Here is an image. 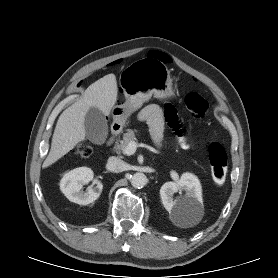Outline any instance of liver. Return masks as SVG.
<instances>
[{"label":"liver","instance_id":"liver-1","mask_svg":"<svg viewBox=\"0 0 278 278\" xmlns=\"http://www.w3.org/2000/svg\"><path fill=\"white\" fill-rule=\"evenodd\" d=\"M117 95L116 77L114 74H108L91 84L82 98L65 109L57 121L51 149L43 163V168L52 165L85 140L84 121L90 107H96L105 116H109L116 104Z\"/></svg>","mask_w":278,"mask_h":278}]
</instances>
